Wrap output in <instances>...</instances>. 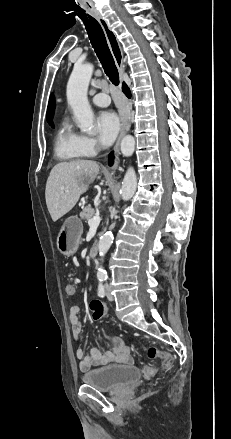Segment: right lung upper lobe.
Returning <instances> with one entry per match:
<instances>
[{
    "label": "right lung upper lobe",
    "instance_id": "1",
    "mask_svg": "<svg viewBox=\"0 0 231 439\" xmlns=\"http://www.w3.org/2000/svg\"><path fill=\"white\" fill-rule=\"evenodd\" d=\"M53 111H54V103L52 102V98H51L47 109V121L52 127H54L52 122Z\"/></svg>",
    "mask_w": 231,
    "mask_h": 439
}]
</instances>
